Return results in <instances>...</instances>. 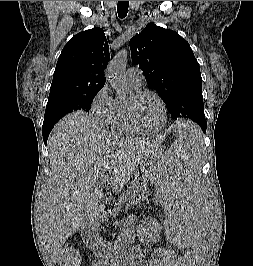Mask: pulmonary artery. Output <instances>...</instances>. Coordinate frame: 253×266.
Instances as JSON below:
<instances>
[{"label": "pulmonary artery", "instance_id": "e3ab8cb5", "mask_svg": "<svg viewBox=\"0 0 253 266\" xmlns=\"http://www.w3.org/2000/svg\"><path fill=\"white\" fill-rule=\"evenodd\" d=\"M125 78L128 84L140 86L142 84L143 74L139 69L131 67L126 71Z\"/></svg>", "mask_w": 253, "mask_h": 266}]
</instances>
